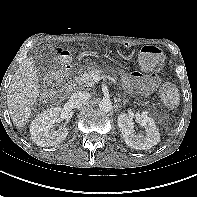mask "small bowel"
Returning a JSON list of instances; mask_svg holds the SVG:
<instances>
[{
  "instance_id": "obj_1",
  "label": "small bowel",
  "mask_w": 197,
  "mask_h": 197,
  "mask_svg": "<svg viewBox=\"0 0 197 197\" xmlns=\"http://www.w3.org/2000/svg\"><path fill=\"white\" fill-rule=\"evenodd\" d=\"M123 82L126 86L132 87L142 94H150L157 87L159 78L156 75H144L140 72H134L130 79L125 77Z\"/></svg>"
}]
</instances>
